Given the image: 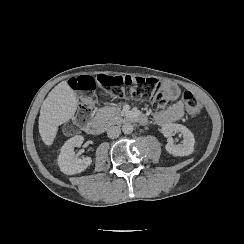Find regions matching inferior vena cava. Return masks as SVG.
<instances>
[{"instance_id":"inferior-vena-cava-1","label":"inferior vena cava","mask_w":244,"mask_h":244,"mask_svg":"<svg viewBox=\"0 0 244 244\" xmlns=\"http://www.w3.org/2000/svg\"><path fill=\"white\" fill-rule=\"evenodd\" d=\"M121 133V130L118 126H111L107 129V136L110 139H115L117 138Z\"/></svg>"}]
</instances>
